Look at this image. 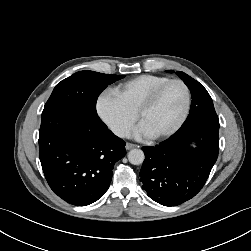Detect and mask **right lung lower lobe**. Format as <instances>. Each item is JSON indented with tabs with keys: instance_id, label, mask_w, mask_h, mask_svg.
Segmentation results:
<instances>
[{
	"instance_id": "1",
	"label": "right lung lower lobe",
	"mask_w": 251,
	"mask_h": 251,
	"mask_svg": "<svg viewBox=\"0 0 251 251\" xmlns=\"http://www.w3.org/2000/svg\"><path fill=\"white\" fill-rule=\"evenodd\" d=\"M126 154L97 112L63 106L42 113L39 157L53 192L66 202L86 206L109 188L114 164Z\"/></svg>"
}]
</instances>
